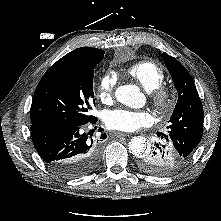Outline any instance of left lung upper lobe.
Returning <instances> with one entry per match:
<instances>
[{
    "label": "left lung upper lobe",
    "mask_w": 221,
    "mask_h": 221,
    "mask_svg": "<svg viewBox=\"0 0 221 221\" xmlns=\"http://www.w3.org/2000/svg\"><path fill=\"white\" fill-rule=\"evenodd\" d=\"M163 58L178 91V101L166 135L179 155L189 160L203 135L202 102L187 69L166 53H163Z\"/></svg>",
    "instance_id": "1"
}]
</instances>
